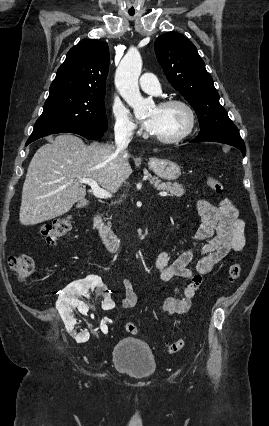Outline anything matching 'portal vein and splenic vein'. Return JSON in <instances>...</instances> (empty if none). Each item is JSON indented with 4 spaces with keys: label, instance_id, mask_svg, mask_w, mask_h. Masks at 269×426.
I'll return each mask as SVG.
<instances>
[{
    "label": "portal vein and splenic vein",
    "instance_id": "obj_1",
    "mask_svg": "<svg viewBox=\"0 0 269 426\" xmlns=\"http://www.w3.org/2000/svg\"><path fill=\"white\" fill-rule=\"evenodd\" d=\"M79 181L83 184H87L91 187L92 189V194L97 197V198H101V199H107V198H111L112 195L110 194V192H108L107 190L101 188L96 180L93 179H79ZM160 196L162 197H166L168 195V193L166 192H160L159 193Z\"/></svg>",
    "mask_w": 269,
    "mask_h": 426
}]
</instances>
